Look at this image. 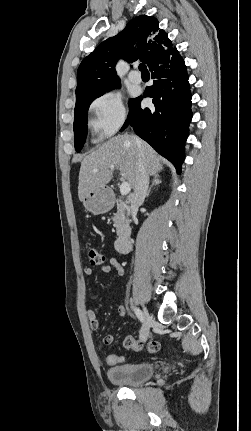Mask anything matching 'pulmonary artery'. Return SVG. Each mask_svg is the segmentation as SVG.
<instances>
[{"label":"pulmonary artery","mask_w":251,"mask_h":431,"mask_svg":"<svg viewBox=\"0 0 251 431\" xmlns=\"http://www.w3.org/2000/svg\"><path fill=\"white\" fill-rule=\"evenodd\" d=\"M129 80L132 83H140L141 82V75L137 71H132L129 74Z\"/></svg>","instance_id":"e3ab8cb5"}]
</instances>
